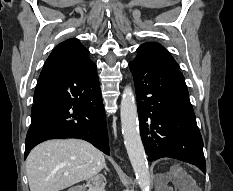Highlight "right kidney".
<instances>
[{"instance_id": "ca27d5eb", "label": "right kidney", "mask_w": 233, "mask_h": 191, "mask_svg": "<svg viewBox=\"0 0 233 191\" xmlns=\"http://www.w3.org/2000/svg\"><path fill=\"white\" fill-rule=\"evenodd\" d=\"M92 191H104V190H102L100 188H94Z\"/></svg>"}]
</instances>
